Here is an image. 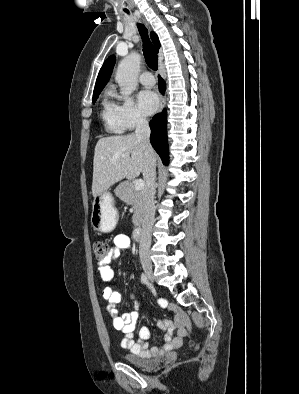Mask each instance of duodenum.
I'll list each match as a JSON object with an SVG mask.
<instances>
[{
    "mask_svg": "<svg viewBox=\"0 0 299 394\" xmlns=\"http://www.w3.org/2000/svg\"><path fill=\"white\" fill-rule=\"evenodd\" d=\"M133 237H134V239H136V240H139V239L141 238V226H137V227L134 229Z\"/></svg>",
    "mask_w": 299,
    "mask_h": 394,
    "instance_id": "410a0bca",
    "label": "duodenum"
}]
</instances>
